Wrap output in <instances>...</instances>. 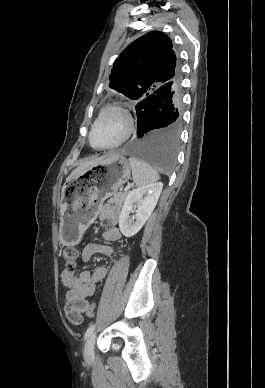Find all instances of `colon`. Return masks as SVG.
<instances>
[{"instance_id":"1","label":"colon","mask_w":265,"mask_h":388,"mask_svg":"<svg viewBox=\"0 0 265 388\" xmlns=\"http://www.w3.org/2000/svg\"><path fill=\"white\" fill-rule=\"evenodd\" d=\"M63 258L65 261L66 269L74 271L77 267L78 251L74 247H68L64 251ZM95 311L96 305L94 303H89L84 309V312L88 316H93Z\"/></svg>"}]
</instances>
